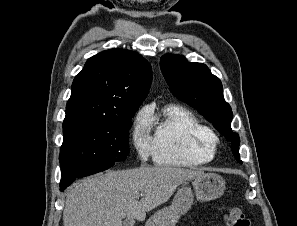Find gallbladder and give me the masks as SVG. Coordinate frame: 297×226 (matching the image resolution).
Wrapping results in <instances>:
<instances>
[{"instance_id": "obj_1", "label": "gallbladder", "mask_w": 297, "mask_h": 226, "mask_svg": "<svg viewBox=\"0 0 297 226\" xmlns=\"http://www.w3.org/2000/svg\"><path fill=\"white\" fill-rule=\"evenodd\" d=\"M123 226H134V220L133 219H129L127 218L124 223Z\"/></svg>"}]
</instances>
